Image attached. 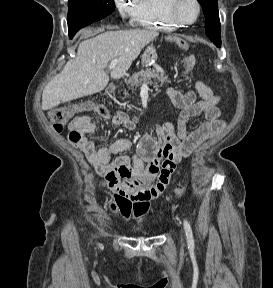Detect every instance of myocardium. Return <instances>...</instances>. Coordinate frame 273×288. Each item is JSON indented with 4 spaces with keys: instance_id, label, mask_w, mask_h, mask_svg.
<instances>
[{
    "instance_id": "obj_1",
    "label": "myocardium",
    "mask_w": 273,
    "mask_h": 288,
    "mask_svg": "<svg viewBox=\"0 0 273 288\" xmlns=\"http://www.w3.org/2000/svg\"><path fill=\"white\" fill-rule=\"evenodd\" d=\"M192 1L196 6V16L194 17L193 20L186 21L179 16L177 12V6L180 0H166V11L168 17L178 25L188 26L194 24L200 16L201 5L198 0H192Z\"/></svg>"
}]
</instances>
